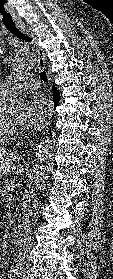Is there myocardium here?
<instances>
[{
  "label": "myocardium",
  "mask_w": 113,
  "mask_h": 279,
  "mask_svg": "<svg viewBox=\"0 0 113 279\" xmlns=\"http://www.w3.org/2000/svg\"><path fill=\"white\" fill-rule=\"evenodd\" d=\"M1 127L2 129L7 132L8 134H15L19 130V126L14 125L10 120L8 116V111L4 110V112L1 115Z\"/></svg>",
  "instance_id": "1"
}]
</instances>
